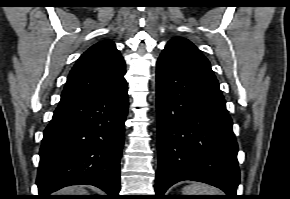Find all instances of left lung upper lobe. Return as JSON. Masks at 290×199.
<instances>
[{"label": "left lung upper lobe", "mask_w": 290, "mask_h": 199, "mask_svg": "<svg viewBox=\"0 0 290 199\" xmlns=\"http://www.w3.org/2000/svg\"><path fill=\"white\" fill-rule=\"evenodd\" d=\"M163 51L170 52L183 62L214 76L207 58L188 39L175 37L166 44Z\"/></svg>", "instance_id": "left-lung-upper-lobe-1"}]
</instances>
